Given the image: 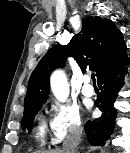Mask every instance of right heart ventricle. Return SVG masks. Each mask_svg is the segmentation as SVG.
<instances>
[{"mask_svg": "<svg viewBox=\"0 0 130 153\" xmlns=\"http://www.w3.org/2000/svg\"><path fill=\"white\" fill-rule=\"evenodd\" d=\"M37 137L40 141H44L45 139V122L41 120L37 127Z\"/></svg>", "mask_w": 130, "mask_h": 153, "instance_id": "obj_1", "label": "right heart ventricle"}]
</instances>
